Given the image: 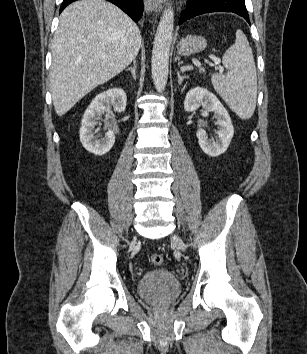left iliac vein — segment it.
I'll use <instances>...</instances> for the list:
<instances>
[{
	"instance_id": "4c4485c4",
	"label": "left iliac vein",
	"mask_w": 307,
	"mask_h": 354,
	"mask_svg": "<svg viewBox=\"0 0 307 354\" xmlns=\"http://www.w3.org/2000/svg\"><path fill=\"white\" fill-rule=\"evenodd\" d=\"M172 241L176 245V247L182 251L186 250V246L183 243L182 239L178 235H173L172 236Z\"/></svg>"
}]
</instances>
